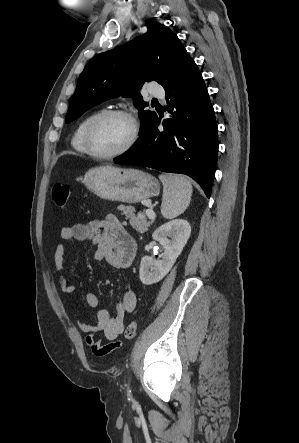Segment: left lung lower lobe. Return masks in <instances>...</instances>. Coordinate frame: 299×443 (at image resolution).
<instances>
[{
  "label": "left lung lower lobe",
  "mask_w": 299,
  "mask_h": 443,
  "mask_svg": "<svg viewBox=\"0 0 299 443\" xmlns=\"http://www.w3.org/2000/svg\"><path fill=\"white\" fill-rule=\"evenodd\" d=\"M169 118L156 115L135 145L114 162L192 177L209 198L218 155L217 124L201 73L194 63L165 88ZM170 107V108H169Z\"/></svg>",
  "instance_id": "left-lung-lower-lobe-1"
}]
</instances>
